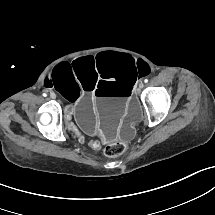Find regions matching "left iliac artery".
Segmentation results:
<instances>
[{
    "instance_id": "left-iliac-artery-1",
    "label": "left iliac artery",
    "mask_w": 215,
    "mask_h": 215,
    "mask_svg": "<svg viewBox=\"0 0 215 215\" xmlns=\"http://www.w3.org/2000/svg\"><path fill=\"white\" fill-rule=\"evenodd\" d=\"M144 82L147 83V82H148V79H145Z\"/></svg>"
}]
</instances>
